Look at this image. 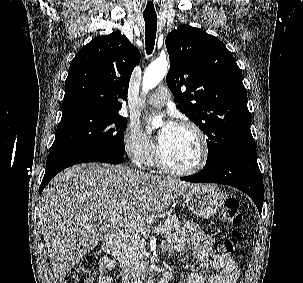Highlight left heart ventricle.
Segmentation results:
<instances>
[{"instance_id": "obj_1", "label": "left heart ventricle", "mask_w": 303, "mask_h": 283, "mask_svg": "<svg viewBox=\"0 0 303 283\" xmlns=\"http://www.w3.org/2000/svg\"><path fill=\"white\" fill-rule=\"evenodd\" d=\"M160 149L169 165L181 169L194 166L200 155L199 142L194 132L181 127L176 128Z\"/></svg>"}]
</instances>
